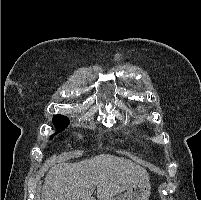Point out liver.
<instances>
[{"instance_id":"obj_1","label":"liver","mask_w":201,"mask_h":200,"mask_svg":"<svg viewBox=\"0 0 201 200\" xmlns=\"http://www.w3.org/2000/svg\"><path fill=\"white\" fill-rule=\"evenodd\" d=\"M139 180L149 181L145 168L134 162L100 154L75 163H59L47 173L41 200H110Z\"/></svg>"}]
</instances>
